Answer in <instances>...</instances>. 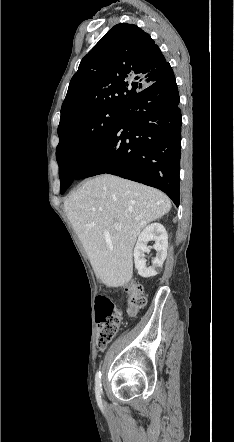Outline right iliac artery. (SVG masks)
Segmentation results:
<instances>
[{"label": "right iliac artery", "mask_w": 234, "mask_h": 442, "mask_svg": "<svg viewBox=\"0 0 234 442\" xmlns=\"http://www.w3.org/2000/svg\"><path fill=\"white\" fill-rule=\"evenodd\" d=\"M95 392L97 401L101 402L102 384H101V372L98 371L95 375Z\"/></svg>", "instance_id": "82829eb1"}]
</instances>
